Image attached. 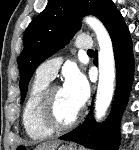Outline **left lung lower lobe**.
I'll return each mask as SVG.
<instances>
[{
    "mask_svg": "<svg viewBox=\"0 0 139 150\" xmlns=\"http://www.w3.org/2000/svg\"><path fill=\"white\" fill-rule=\"evenodd\" d=\"M113 43L117 85L112 112L99 124L94 121L92 110L86 120L71 132L59 137L96 150H118L119 121L125 108L133 80L134 59L132 41L120 12L113 7L104 23Z\"/></svg>",
    "mask_w": 139,
    "mask_h": 150,
    "instance_id": "0a47b994",
    "label": "left lung lower lobe"
}]
</instances>
